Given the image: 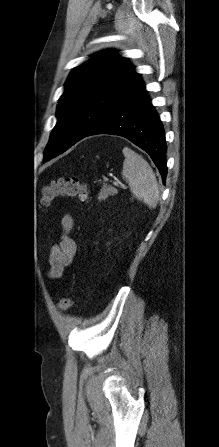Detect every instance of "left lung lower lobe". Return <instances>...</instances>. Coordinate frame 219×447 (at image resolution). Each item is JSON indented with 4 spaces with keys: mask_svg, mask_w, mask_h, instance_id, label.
I'll use <instances>...</instances> for the list:
<instances>
[{
    "mask_svg": "<svg viewBox=\"0 0 219 447\" xmlns=\"http://www.w3.org/2000/svg\"><path fill=\"white\" fill-rule=\"evenodd\" d=\"M97 134L125 137L146 151L165 182L167 166L164 130L140 77L86 136Z\"/></svg>",
    "mask_w": 219,
    "mask_h": 447,
    "instance_id": "obj_1",
    "label": "left lung lower lobe"
}]
</instances>
